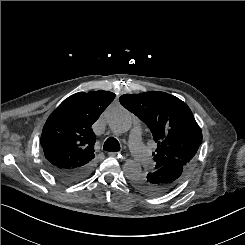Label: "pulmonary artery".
I'll return each instance as SVG.
<instances>
[{
  "instance_id": "pulmonary-artery-1",
  "label": "pulmonary artery",
  "mask_w": 245,
  "mask_h": 245,
  "mask_svg": "<svg viewBox=\"0 0 245 245\" xmlns=\"http://www.w3.org/2000/svg\"><path fill=\"white\" fill-rule=\"evenodd\" d=\"M130 146L136 160L145 168L153 166L148 149L141 142V127L136 124L130 132Z\"/></svg>"
}]
</instances>
